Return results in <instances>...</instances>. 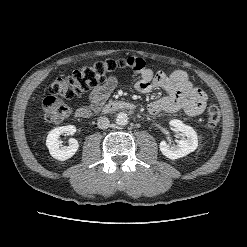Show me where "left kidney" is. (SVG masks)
<instances>
[{"mask_svg":"<svg viewBox=\"0 0 247 247\" xmlns=\"http://www.w3.org/2000/svg\"><path fill=\"white\" fill-rule=\"evenodd\" d=\"M170 125L180 131L186 138L178 141L175 146H170L166 141H161L159 148L164 156L174 160L184 157L197 149V134L191 126L177 119L171 120Z\"/></svg>","mask_w":247,"mask_h":247,"instance_id":"1","label":"left kidney"}]
</instances>
